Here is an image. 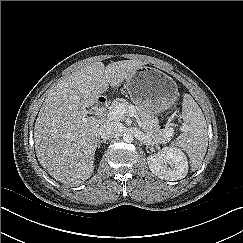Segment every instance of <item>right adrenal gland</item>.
Here are the masks:
<instances>
[{
    "mask_svg": "<svg viewBox=\"0 0 243 243\" xmlns=\"http://www.w3.org/2000/svg\"><path fill=\"white\" fill-rule=\"evenodd\" d=\"M101 143H104V144H105V143H106V140H100V141L98 142V145H97L98 148H100Z\"/></svg>",
    "mask_w": 243,
    "mask_h": 243,
    "instance_id": "1",
    "label": "right adrenal gland"
}]
</instances>
